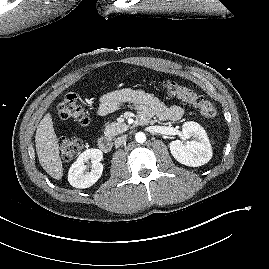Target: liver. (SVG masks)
Returning <instances> with one entry per match:
<instances>
[{
	"instance_id": "liver-1",
	"label": "liver",
	"mask_w": 269,
	"mask_h": 269,
	"mask_svg": "<svg viewBox=\"0 0 269 269\" xmlns=\"http://www.w3.org/2000/svg\"><path fill=\"white\" fill-rule=\"evenodd\" d=\"M36 152L43 169L54 179L63 176L59 144L54 131L52 116L47 113L40 121L35 135Z\"/></svg>"
}]
</instances>
